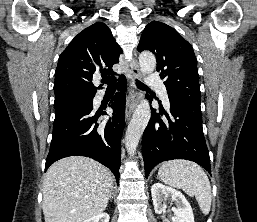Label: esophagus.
I'll list each match as a JSON object with an SVG mask.
<instances>
[{"instance_id":"obj_1","label":"esophagus","mask_w":257,"mask_h":222,"mask_svg":"<svg viewBox=\"0 0 257 222\" xmlns=\"http://www.w3.org/2000/svg\"><path fill=\"white\" fill-rule=\"evenodd\" d=\"M130 67H131V75L130 76L133 79V81L131 82L130 95H129V99L126 104V114H125L126 120L130 119L133 111L135 110L138 102L141 99V94L136 89L135 84H134V80L139 79L141 77L137 62L135 60H133L130 63Z\"/></svg>"}]
</instances>
